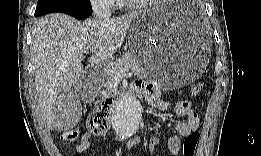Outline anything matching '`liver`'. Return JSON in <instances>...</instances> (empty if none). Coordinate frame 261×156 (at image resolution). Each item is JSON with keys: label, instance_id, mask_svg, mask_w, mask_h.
Listing matches in <instances>:
<instances>
[{"label": "liver", "instance_id": "1", "mask_svg": "<svg viewBox=\"0 0 261 156\" xmlns=\"http://www.w3.org/2000/svg\"><path fill=\"white\" fill-rule=\"evenodd\" d=\"M142 12H132L108 21L84 22L53 13L35 20L31 32V51L35 67V87L42 117L48 129L54 122L56 108L67 93L75 103L78 121L82 106L70 89L87 73L80 61L89 50L91 64L110 59L122 46L131 22ZM77 121V122H78Z\"/></svg>", "mask_w": 261, "mask_h": 156}]
</instances>
